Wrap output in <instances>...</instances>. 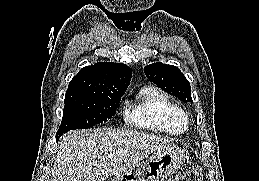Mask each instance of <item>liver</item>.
I'll return each mask as SVG.
<instances>
[{
	"label": "liver",
	"instance_id": "liver-1",
	"mask_svg": "<svg viewBox=\"0 0 259 181\" xmlns=\"http://www.w3.org/2000/svg\"><path fill=\"white\" fill-rule=\"evenodd\" d=\"M171 145L168 139L130 130L68 132L59 142L51 181H102Z\"/></svg>",
	"mask_w": 259,
	"mask_h": 181
}]
</instances>
